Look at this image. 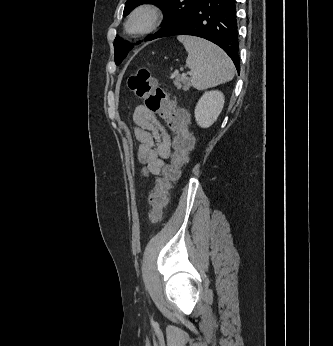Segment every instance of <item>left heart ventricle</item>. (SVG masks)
<instances>
[{"mask_svg": "<svg viewBox=\"0 0 333 346\" xmlns=\"http://www.w3.org/2000/svg\"><path fill=\"white\" fill-rule=\"evenodd\" d=\"M145 23H146V19L145 18H139L132 24V27L134 29H138V28H141L142 26H144Z\"/></svg>", "mask_w": 333, "mask_h": 346, "instance_id": "obj_1", "label": "left heart ventricle"}]
</instances>
